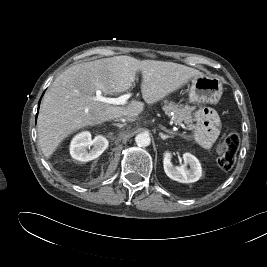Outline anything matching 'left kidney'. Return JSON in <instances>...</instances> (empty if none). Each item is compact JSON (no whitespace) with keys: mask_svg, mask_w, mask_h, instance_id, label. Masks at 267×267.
I'll return each mask as SVG.
<instances>
[{"mask_svg":"<svg viewBox=\"0 0 267 267\" xmlns=\"http://www.w3.org/2000/svg\"><path fill=\"white\" fill-rule=\"evenodd\" d=\"M172 153L165 152L163 158V166L166 175L172 180L180 183H193L200 179L202 176V167L199 160L190 153L183 154L184 164L174 167L172 162ZM187 165L190 168H187Z\"/></svg>","mask_w":267,"mask_h":267,"instance_id":"5707ae66","label":"left kidney"}]
</instances>
